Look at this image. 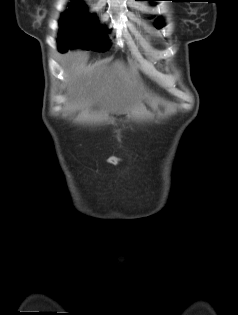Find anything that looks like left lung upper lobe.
I'll use <instances>...</instances> for the list:
<instances>
[{
  "instance_id": "obj_1",
  "label": "left lung upper lobe",
  "mask_w": 238,
  "mask_h": 315,
  "mask_svg": "<svg viewBox=\"0 0 238 315\" xmlns=\"http://www.w3.org/2000/svg\"><path fill=\"white\" fill-rule=\"evenodd\" d=\"M144 1H160V0H144ZM163 26V21L161 19H157L156 27L161 28Z\"/></svg>"
}]
</instances>
